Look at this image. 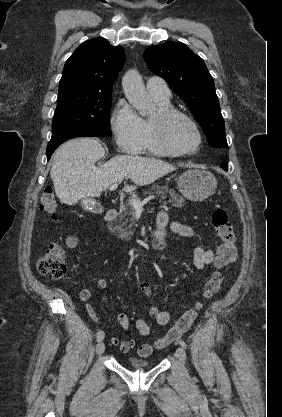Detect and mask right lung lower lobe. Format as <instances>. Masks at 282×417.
I'll list each match as a JSON object with an SVG mask.
<instances>
[{"mask_svg":"<svg viewBox=\"0 0 282 417\" xmlns=\"http://www.w3.org/2000/svg\"><path fill=\"white\" fill-rule=\"evenodd\" d=\"M82 136H85V137H97V136H101V135L94 134V133H91V132H88V131H85V130H82V129H72V130H68V131L61 132V133H59L57 135H53L52 138H51V140H50V142H49V144H48V147H47V151H46V153H47V159L48 160L50 159V157H51L52 153L54 152V150L61 143H63L64 141H66L68 139H71V138H74V137H82Z\"/></svg>","mask_w":282,"mask_h":417,"instance_id":"right-lung-lower-lobe-1","label":"right lung lower lobe"}]
</instances>
